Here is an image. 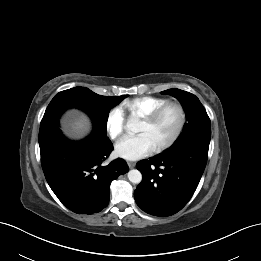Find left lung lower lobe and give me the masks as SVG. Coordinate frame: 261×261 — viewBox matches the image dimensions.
Masks as SVG:
<instances>
[{
    "instance_id": "0a47b994",
    "label": "left lung lower lobe",
    "mask_w": 261,
    "mask_h": 261,
    "mask_svg": "<svg viewBox=\"0 0 261 261\" xmlns=\"http://www.w3.org/2000/svg\"><path fill=\"white\" fill-rule=\"evenodd\" d=\"M209 143L192 141L137 163L142 182L134 191L146 213L167 217L180 211L194 194L207 163Z\"/></svg>"
}]
</instances>
